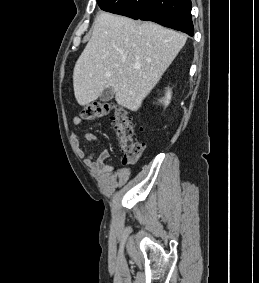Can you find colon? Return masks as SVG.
Instances as JSON below:
<instances>
[{
	"instance_id": "colon-1",
	"label": "colon",
	"mask_w": 259,
	"mask_h": 283,
	"mask_svg": "<svg viewBox=\"0 0 259 283\" xmlns=\"http://www.w3.org/2000/svg\"><path fill=\"white\" fill-rule=\"evenodd\" d=\"M112 114V123L122 148V161L125 165L136 163L144 150V143L136 136L134 124L129 111L110 101H97L85 105L79 117L86 120H95Z\"/></svg>"
}]
</instances>
